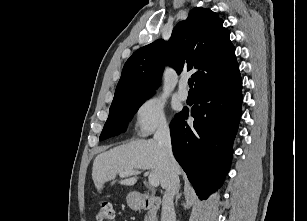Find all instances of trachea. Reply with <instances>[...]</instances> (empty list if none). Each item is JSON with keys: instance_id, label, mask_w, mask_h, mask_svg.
I'll return each mask as SVG.
<instances>
[{"instance_id": "1", "label": "trachea", "mask_w": 307, "mask_h": 221, "mask_svg": "<svg viewBox=\"0 0 307 221\" xmlns=\"http://www.w3.org/2000/svg\"><path fill=\"white\" fill-rule=\"evenodd\" d=\"M193 84H194V81H193V79H189L188 80V85H189V87H190V90H193Z\"/></svg>"}]
</instances>
